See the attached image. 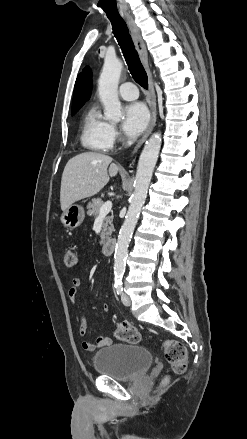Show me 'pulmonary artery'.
I'll use <instances>...</instances> for the list:
<instances>
[{
	"mask_svg": "<svg viewBox=\"0 0 247 439\" xmlns=\"http://www.w3.org/2000/svg\"><path fill=\"white\" fill-rule=\"evenodd\" d=\"M119 94L125 100H135L138 97L136 86L130 82L124 83L119 87Z\"/></svg>",
	"mask_w": 247,
	"mask_h": 439,
	"instance_id": "1",
	"label": "pulmonary artery"
}]
</instances>
